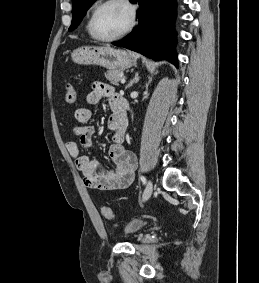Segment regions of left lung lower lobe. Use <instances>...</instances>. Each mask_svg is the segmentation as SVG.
Masks as SVG:
<instances>
[{
  "label": "left lung lower lobe",
  "instance_id": "0a47b994",
  "mask_svg": "<svg viewBox=\"0 0 259 283\" xmlns=\"http://www.w3.org/2000/svg\"><path fill=\"white\" fill-rule=\"evenodd\" d=\"M140 4L139 25L125 39L113 43L153 59H167L178 67L174 22L175 0H133Z\"/></svg>",
  "mask_w": 259,
  "mask_h": 283
}]
</instances>
